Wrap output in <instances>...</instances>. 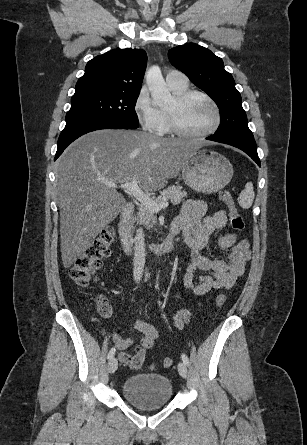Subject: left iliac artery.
I'll list each match as a JSON object with an SVG mask.
<instances>
[{
    "label": "left iliac artery",
    "instance_id": "44dca946",
    "mask_svg": "<svg viewBox=\"0 0 307 445\" xmlns=\"http://www.w3.org/2000/svg\"><path fill=\"white\" fill-rule=\"evenodd\" d=\"M182 360L186 365H189V358L184 353L182 354Z\"/></svg>",
    "mask_w": 307,
    "mask_h": 445
}]
</instances>
